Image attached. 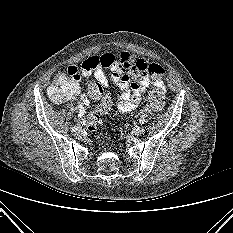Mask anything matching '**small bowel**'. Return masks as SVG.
Masks as SVG:
<instances>
[{
	"label": "small bowel",
	"instance_id": "1",
	"mask_svg": "<svg viewBox=\"0 0 233 233\" xmlns=\"http://www.w3.org/2000/svg\"><path fill=\"white\" fill-rule=\"evenodd\" d=\"M104 68L112 71V81L118 89L116 95L118 109L123 112H130L137 108L141 102L142 95L152 82L164 90L162 77L164 70L155 63H150L143 58H135L128 52H121L115 55L111 52L99 56H92L86 59L80 67L71 65L63 72L72 78L73 95L67 100H74L79 96V118L82 120L85 113V106L90 103V98L81 94V74L90 76L94 74L95 79L103 86H108V79ZM130 78L136 79L130 83Z\"/></svg>",
	"mask_w": 233,
	"mask_h": 233
}]
</instances>
